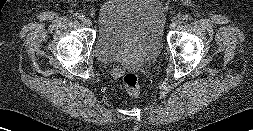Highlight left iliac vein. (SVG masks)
Instances as JSON below:
<instances>
[{"instance_id": "1", "label": "left iliac vein", "mask_w": 253, "mask_h": 131, "mask_svg": "<svg viewBox=\"0 0 253 131\" xmlns=\"http://www.w3.org/2000/svg\"><path fill=\"white\" fill-rule=\"evenodd\" d=\"M178 25H179V21L178 20H173L170 24V28L175 29Z\"/></svg>"}]
</instances>
